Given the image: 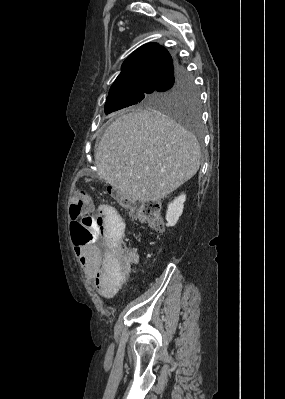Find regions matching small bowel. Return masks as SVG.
I'll list each match as a JSON object with an SVG mask.
<instances>
[{
    "label": "small bowel",
    "instance_id": "c3829d8e",
    "mask_svg": "<svg viewBox=\"0 0 285 399\" xmlns=\"http://www.w3.org/2000/svg\"><path fill=\"white\" fill-rule=\"evenodd\" d=\"M98 216L92 219L86 227L89 231L98 232L102 236L100 243H87L84 246L75 247L86 272L94 276L96 288L103 298L114 296L122 285V278L118 271L111 267L108 256L102 254V249L115 244L120 240L126 230V224L115 210L108 205H100L97 208ZM136 218V216H133ZM85 236L84 232L80 233ZM135 252V249H133ZM134 260H137L135 255Z\"/></svg>",
    "mask_w": 285,
    "mask_h": 399
}]
</instances>
